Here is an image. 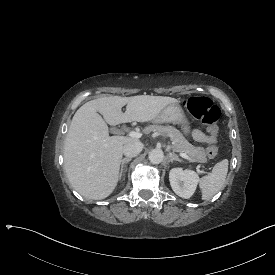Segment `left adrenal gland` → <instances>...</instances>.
<instances>
[{
    "mask_svg": "<svg viewBox=\"0 0 275 275\" xmlns=\"http://www.w3.org/2000/svg\"><path fill=\"white\" fill-rule=\"evenodd\" d=\"M168 151V150H167ZM167 158L169 161L171 162H175V161H179L181 162L182 160L178 157V155L174 154V153H171L168 151V155H167Z\"/></svg>",
    "mask_w": 275,
    "mask_h": 275,
    "instance_id": "left-adrenal-gland-1",
    "label": "left adrenal gland"
}]
</instances>
